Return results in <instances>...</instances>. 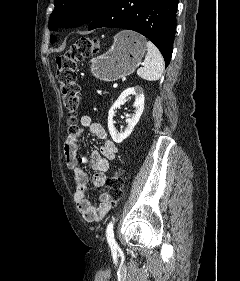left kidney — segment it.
Wrapping results in <instances>:
<instances>
[{
    "instance_id": "left-kidney-1",
    "label": "left kidney",
    "mask_w": 240,
    "mask_h": 281,
    "mask_svg": "<svg viewBox=\"0 0 240 281\" xmlns=\"http://www.w3.org/2000/svg\"><path fill=\"white\" fill-rule=\"evenodd\" d=\"M130 95L135 96V102H134L135 114L132 118H128L126 120L128 125L127 128L124 130V132H118L114 126V121H113L115 110L119 108L121 105H123L124 100ZM143 110H144V94H143V89L141 87L128 88L121 93V95L118 97V99L114 102V104L110 108L108 114V129L114 142L121 143L132 133L135 125L138 123L143 113Z\"/></svg>"
}]
</instances>
